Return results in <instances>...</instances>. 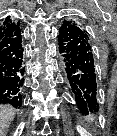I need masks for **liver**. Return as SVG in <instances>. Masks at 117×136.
I'll return each mask as SVG.
<instances>
[{
    "label": "liver",
    "mask_w": 117,
    "mask_h": 136,
    "mask_svg": "<svg viewBox=\"0 0 117 136\" xmlns=\"http://www.w3.org/2000/svg\"><path fill=\"white\" fill-rule=\"evenodd\" d=\"M14 116V109L8 105H0V134L8 127L9 121Z\"/></svg>",
    "instance_id": "1"
}]
</instances>
